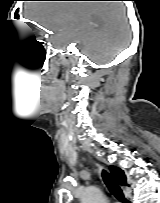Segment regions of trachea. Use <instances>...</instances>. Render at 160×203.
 Segmentation results:
<instances>
[{
	"label": "trachea",
	"mask_w": 160,
	"mask_h": 203,
	"mask_svg": "<svg viewBox=\"0 0 160 203\" xmlns=\"http://www.w3.org/2000/svg\"><path fill=\"white\" fill-rule=\"evenodd\" d=\"M102 178L104 180V183L106 184L108 190L122 203H128L126 200L121 188L118 186V184L113 180V178L106 172L102 171Z\"/></svg>",
	"instance_id": "obj_1"
}]
</instances>
